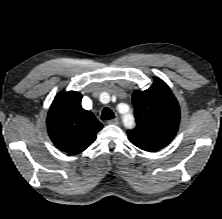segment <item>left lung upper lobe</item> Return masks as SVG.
<instances>
[{
    "mask_svg": "<svg viewBox=\"0 0 222 219\" xmlns=\"http://www.w3.org/2000/svg\"><path fill=\"white\" fill-rule=\"evenodd\" d=\"M137 126L128 130L129 140L145 151L168 145L178 130L179 105L169 87L159 78L145 91L132 95Z\"/></svg>",
    "mask_w": 222,
    "mask_h": 219,
    "instance_id": "5c2ea615",
    "label": "left lung upper lobe"
}]
</instances>
